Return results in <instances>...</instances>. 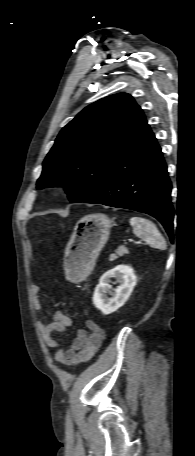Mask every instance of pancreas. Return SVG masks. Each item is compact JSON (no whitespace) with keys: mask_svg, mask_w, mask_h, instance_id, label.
<instances>
[{"mask_svg":"<svg viewBox=\"0 0 195 456\" xmlns=\"http://www.w3.org/2000/svg\"><path fill=\"white\" fill-rule=\"evenodd\" d=\"M128 253H129V250L127 247H125L123 245L119 246L118 249L115 250V253L110 255L109 260L114 261V260L118 259L119 257L124 256L125 254H128Z\"/></svg>","mask_w":195,"mask_h":456,"instance_id":"cf45deb5","label":"pancreas"}]
</instances>
